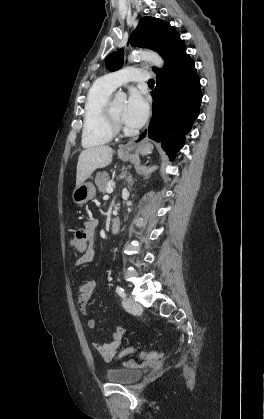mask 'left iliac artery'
I'll return each instance as SVG.
<instances>
[{"instance_id":"44dca946","label":"left iliac artery","mask_w":264,"mask_h":419,"mask_svg":"<svg viewBox=\"0 0 264 419\" xmlns=\"http://www.w3.org/2000/svg\"><path fill=\"white\" fill-rule=\"evenodd\" d=\"M116 292L118 293V295L120 297H122V298H125L126 297V293H125V291H124V289L122 287L117 286L116 287Z\"/></svg>"}]
</instances>
